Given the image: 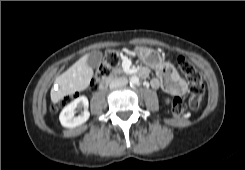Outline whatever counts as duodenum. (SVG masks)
<instances>
[{
    "mask_svg": "<svg viewBox=\"0 0 245 170\" xmlns=\"http://www.w3.org/2000/svg\"><path fill=\"white\" fill-rule=\"evenodd\" d=\"M138 75L141 76V77H145V76H146V71H145L144 69H140V70L138 71ZM109 82H110V79H104V80L100 83L99 89H101V90L105 89V88L108 86Z\"/></svg>",
    "mask_w": 245,
    "mask_h": 170,
    "instance_id": "410a0bca",
    "label": "duodenum"
}]
</instances>
